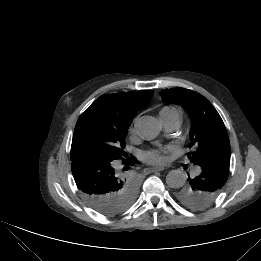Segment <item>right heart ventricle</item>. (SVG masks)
Masks as SVG:
<instances>
[{
    "label": "right heart ventricle",
    "instance_id": "obj_1",
    "mask_svg": "<svg viewBox=\"0 0 261 261\" xmlns=\"http://www.w3.org/2000/svg\"><path fill=\"white\" fill-rule=\"evenodd\" d=\"M175 110H176V109L173 108V107H168V106H166V107L162 108V110L160 111V114H162V113H168V112L175 111Z\"/></svg>",
    "mask_w": 261,
    "mask_h": 261
}]
</instances>
